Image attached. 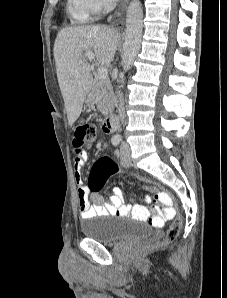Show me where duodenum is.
<instances>
[{"label":"duodenum","instance_id":"1","mask_svg":"<svg viewBox=\"0 0 227 298\" xmlns=\"http://www.w3.org/2000/svg\"><path fill=\"white\" fill-rule=\"evenodd\" d=\"M117 120L116 115L114 113H110L107 115L104 124L103 131L105 133H112L116 129Z\"/></svg>","mask_w":227,"mask_h":298}]
</instances>
